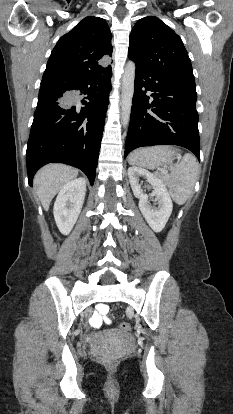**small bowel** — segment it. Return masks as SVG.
Wrapping results in <instances>:
<instances>
[{"instance_id": "small-bowel-1", "label": "small bowel", "mask_w": 233, "mask_h": 414, "mask_svg": "<svg viewBox=\"0 0 233 414\" xmlns=\"http://www.w3.org/2000/svg\"><path fill=\"white\" fill-rule=\"evenodd\" d=\"M107 312L108 306L103 304V302H98L97 312H95L90 318L91 325L98 328L102 324L103 320L106 323H110V319L108 317H103V315H106Z\"/></svg>"}]
</instances>
